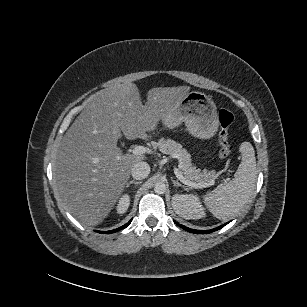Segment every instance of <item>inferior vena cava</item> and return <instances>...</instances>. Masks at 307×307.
I'll list each match as a JSON object with an SVG mask.
<instances>
[{
	"label": "inferior vena cava",
	"mask_w": 307,
	"mask_h": 307,
	"mask_svg": "<svg viewBox=\"0 0 307 307\" xmlns=\"http://www.w3.org/2000/svg\"><path fill=\"white\" fill-rule=\"evenodd\" d=\"M149 173L150 166L147 162L138 161L132 166L131 169L132 176L137 180L144 179Z\"/></svg>",
	"instance_id": "1"
}]
</instances>
